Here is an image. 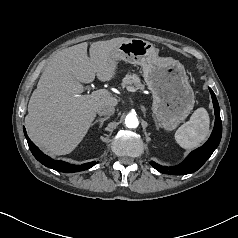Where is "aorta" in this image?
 <instances>
[{"mask_svg":"<svg viewBox=\"0 0 238 238\" xmlns=\"http://www.w3.org/2000/svg\"><path fill=\"white\" fill-rule=\"evenodd\" d=\"M125 125L128 128H137L139 125L138 118L135 113H129L125 118Z\"/></svg>","mask_w":238,"mask_h":238,"instance_id":"obj_1","label":"aorta"}]
</instances>
